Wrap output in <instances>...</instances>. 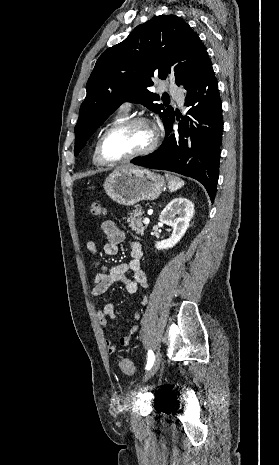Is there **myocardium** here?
<instances>
[{"mask_svg":"<svg viewBox=\"0 0 279 465\" xmlns=\"http://www.w3.org/2000/svg\"><path fill=\"white\" fill-rule=\"evenodd\" d=\"M134 124H143V125L148 126L151 129L152 138H151L150 143L144 149H142V150H140L138 152L132 153L130 155L124 156L122 158H119V159H109V158H107L105 156V154H104V151H103L104 143H105L107 137L112 132H114V131H116V130H118L120 128H124V127L134 125ZM158 142H159V133H158V130H157L156 126L152 123L151 120H149L148 118L143 117V116L127 117V118H125L123 120H120V121L110 125L108 128H106L104 130V132L101 134V136H100V138L98 140V143H97V155H98L99 160L104 165H116V164L131 161V160H134L136 158H140V157H143V156H146V155L152 153L156 149V147L158 145Z\"/></svg>","mask_w":279,"mask_h":465,"instance_id":"obj_1","label":"myocardium"}]
</instances>
